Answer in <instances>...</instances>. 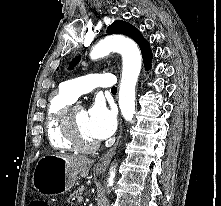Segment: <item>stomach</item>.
<instances>
[{
    "mask_svg": "<svg viewBox=\"0 0 221 206\" xmlns=\"http://www.w3.org/2000/svg\"><path fill=\"white\" fill-rule=\"evenodd\" d=\"M77 178V174L68 166L64 158L47 155L37 162L32 184L42 194L58 195L70 191Z\"/></svg>",
    "mask_w": 221,
    "mask_h": 206,
    "instance_id": "0dacf381",
    "label": "stomach"
}]
</instances>
